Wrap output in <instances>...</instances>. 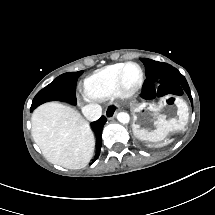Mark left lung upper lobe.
Returning <instances> with one entry per match:
<instances>
[{
  "instance_id": "obj_1",
  "label": "left lung upper lobe",
  "mask_w": 215,
  "mask_h": 215,
  "mask_svg": "<svg viewBox=\"0 0 215 215\" xmlns=\"http://www.w3.org/2000/svg\"><path fill=\"white\" fill-rule=\"evenodd\" d=\"M140 60L146 67V80L144 82L145 86L150 85L158 79H167L170 81L178 82L187 93L191 103L193 104L188 83L185 77L176 68L167 63L157 62L151 59L141 58Z\"/></svg>"
}]
</instances>
